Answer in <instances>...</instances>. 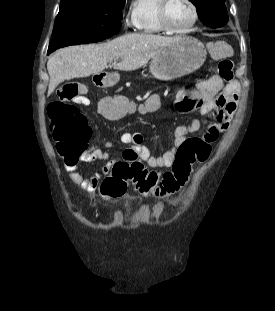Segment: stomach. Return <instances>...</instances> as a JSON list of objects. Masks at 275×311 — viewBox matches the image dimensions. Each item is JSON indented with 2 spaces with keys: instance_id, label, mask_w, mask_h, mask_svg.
Wrapping results in <instances>:
<instances>
[{
  "instance_id": "stomach-1",
  "label": "stomach",
  "mask_w": 275,
  "mask_h": 311,
  "mask_svg": "<svg viewBox=\"0 0 275 311\" xmlns=\"http://www.w3.org/2000/svg\"><path fill=\"white\" fill-rule=\"evenodd\" d=\"M206 49L202 42L192 37H184L164 47L152 59L149 69L153 77L162 81L173 80L198 70L206 60ZM105 87L115 85L119 77L115 73L106 74Z\"/></svg>"
}]
</instances>
